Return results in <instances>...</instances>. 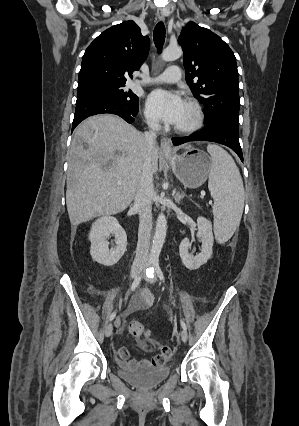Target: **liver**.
<instances>
[{
	"instance_id": "1",
	"label": "liver",
	"mask_w": 299,
	"mask_h": 426,
	"mask_svg": "<svg viewBox=\"0 0 299 426\" xmlns=\"http://www.w3.org/2000/svg\"><path fill=\"white\" fill-rule=\"evenodd\" d=\"M145 155L143 134L120 117L104 114L83 121L68 156L66 206L71 224L124 211L134 199ZM158 157L155 146L153 173Z\"/></svg>"
}]
</instances>
